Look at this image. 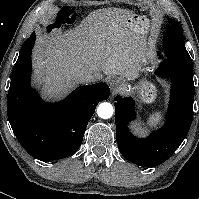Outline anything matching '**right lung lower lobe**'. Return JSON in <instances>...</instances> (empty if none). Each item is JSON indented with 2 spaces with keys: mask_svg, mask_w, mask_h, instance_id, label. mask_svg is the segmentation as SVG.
<instances>
[{
  "mask_svg": "<svg viewBox=\"0 0 199 199\" xmlns=\"http://www.w3.org/2000/svg\"><path fill=\"white\" fill-rule=\"evenodd\" d=\"M31 50L17 60L7 96L12 130L22 147L39 160H58L78 150L100 101L109 97L104 83L80 86L59 103H46L30 86Z\"/></svg>",
  "mask_w": 199,
  "mask_h": 199,
  "instance_id": "1",
  "label": "right lung lower lobe"
}]
</instances>
